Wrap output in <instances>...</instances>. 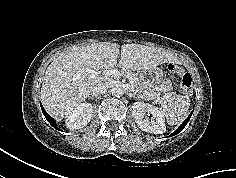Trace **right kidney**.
<instances>
[{
  "label": "right kidney",
  "mask_w": 236,
  "mask_h": 178,
  "mask_svg": "<svg viewBox=\"0 0 236 178\" xmlns=\"http://www.w3.org/2000/svg\"><path fill=\"white\" fill-rule=\"evenodd\" d=\"M92 115V104L82 103L66 117L65 126L71 130L83 128L90 122Z\"/></svg>",
  "instance_id": "1"
}]
</instances>
